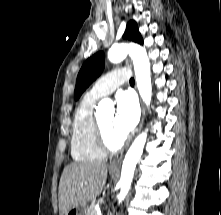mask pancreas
I'll list each match as a JSON object with an SVG mask.
<instances>
[{
	"label": "pancreas",
	"mask_w": 221,
	"mask_h": 215,
	"mask_svg": "<svg viewBox=\"0 0 221 215\" xmlns=\"http://www.w3.org/2000/svg\"><path fill=\"white\" fill-rule=\"evenodd\" d=\"M104 203L103 201L98 202V204ZM86 215H97V210L95 208V203L91 204V206L87 209Z\"/></svg>",
	"instance_id": "obj_1"
}]
</instances>
